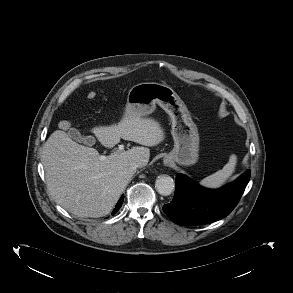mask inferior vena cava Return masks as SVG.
I'll use <instances>...</instances> for the list:
<instances>
[{
    "instance_id": "inferior-vena-cava-1",
    "label": "inferior vena cava",
    "mask_w": 293,
    "mask_h": 293,
    "mask_svg": "<svg viewBox=\"0 0 293 293\" xmlns=\"http://www.w3.org/2000/svg\"><path fill=\"white\" fill-rule=\"evenodd\" d=\"M145 166V164L142 161H138V162H131L130 163V168L132 170H136L137 168L143 167Z\"/></svg>"
}]
</instances>
